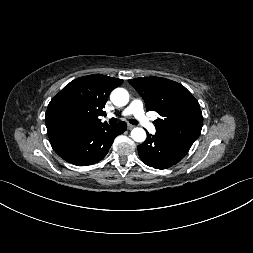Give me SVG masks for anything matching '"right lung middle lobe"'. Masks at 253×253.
<instances>
[{
	"mask_svg": "<svg viewBox=\"0 0 253 253\" xmlns=\"http://www.w3.org/2000/svg\"><path fill=\"white\" fill-rule=\"evenodd\" d=\"M68 128H69V121L65 118L58 120L54 124V130L58 133H64L68 130Z\"/></svg>",
	"mask_w": 253,
	"mask_h": 253,
	"instance_id": "right-lung-middle-lobe-1",
	"label": "right lung middle lobe"
}]
</instances>
